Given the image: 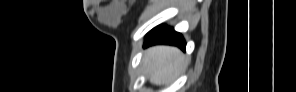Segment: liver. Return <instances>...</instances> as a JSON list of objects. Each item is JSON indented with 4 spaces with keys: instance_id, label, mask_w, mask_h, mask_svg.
<instances>
[{
    "instance_id": "1",
    "label": "liver",
    "mask_w": 296,
    "mask_h": 92,
    "mask_svg": "<svg viewBox=\"0 0 296 92\" xmlns=\"http://www.w3.org/2000/svg\"><path fill=\"white\" fill-rule=\"evenodd\" d=\"M143 65L149 81L163 85L185 71L188 60L178 48L159 45L146 50Z\"/></svg>"
}]
</instances>
